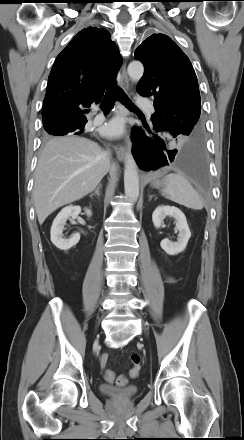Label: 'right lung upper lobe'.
<instances>
[{"label":"right lung upper lobe","instance_id":"obj_1","mask_svg":"<svg viewBox=\"0 0 244 440\" xmlns=\"http://www.w3.org/2000/svg\"><path fill=\"white\" fill-rule=\"evenodd\" d=\"M121 56L104 28L81 30L57 56L42 108L45 127L87 122L82 107L98 103L115 83Z\"/></svg>","mask_w":244,"mask_h":440}]
</instances>
